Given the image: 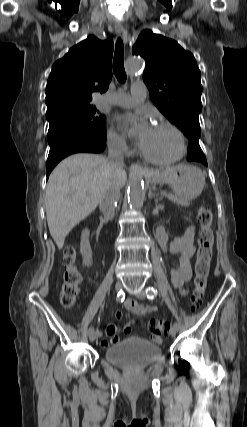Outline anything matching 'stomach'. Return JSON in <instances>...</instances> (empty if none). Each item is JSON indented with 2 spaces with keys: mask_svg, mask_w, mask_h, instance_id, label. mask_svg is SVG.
Wrapping results in <instances>:
<instances>
[{
  "mask_svg": "<svg viewBox=\"0 0 247 427\" xmlns=\"http://www.w3.org/2000/svg\"><path fill=\"white\" fill-rule=\"evenodd\" d=\"M149 181L152 184L168 183L174 195L187 202L196 199L201 194L205 185V176L195 166L179 164L161 172H155Z\"/></svg>",
  "mask_w": 247,
  "mask_h": 427,
  "instance_id": "obj_1",
  "label": "stomach"
}]
</instances>
